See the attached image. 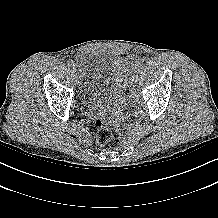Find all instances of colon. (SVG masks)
<instances>
[{
    "label": "colon",
    "mask_w": 218,
    "mask_h": 218,
    "mask_svg": "<svg viewBox=\"0 0 218 218\" xmlns=\"http://www.w3.org/2000/svg\"><path fill=\"white\" fill-rule=\"evenodd\" d=\"M95 139L99 145H105L113 138V133L102 117H96L94 120Z\"/></svg>",
    "instance_id": "obj_1"
}]
</instances>
